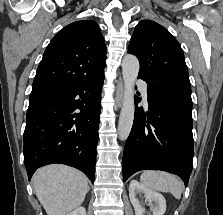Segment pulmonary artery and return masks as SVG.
<instances>
[{
  "label": "pulmonary artery",
  "mask_w": 223,
  "mask_h": 215,
  "mask_svg": "<svg viewBox=\"0 0 223 215\" xmlns=\"http://www.w3.org/2000/svg\"><path fill=\"white\" fill-rule=\"evenodd\" d=\"M138 89L141 90V98H150V93H148L149 83L148 82H138Z\"/></svg>",
  "instance_id": "e3ab8cb5"
}]
</instances>
